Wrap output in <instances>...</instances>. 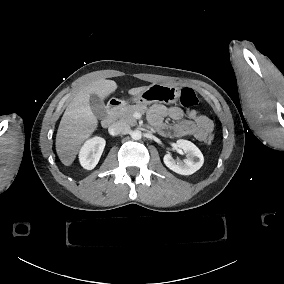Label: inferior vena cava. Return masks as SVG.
Wrapping results in <instances>:
<instances>
[{"label": "inferior vena cava", "instance_id": "1", "mask_svg": "<svg viewBox=\"0 0 284 284\" xmlns=\"http://www.w3.org/2000/svg\"><path fill=\"white\" fill-rule=\"evenodd\" d=\"M129 129H130V126L128 124H126L125 122L119 121V122L112 124L109 127L108 131L110 135L116 136V135L125 133Z\"/></svg>", "mask_w": 284, "mask_h": 284}]
</instances>
